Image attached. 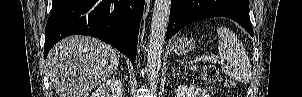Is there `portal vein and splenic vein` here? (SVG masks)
<instances>
[{"label":"portal vein and splenic vein","mask_w":302,"mask_h":97,"mask_svg":"<svg viewBox=\"0 0 302 97\" xmlns=\"http://www.w3.org/2000/svg\"><path fill=\"white\" fill-rule=\"evenodd\" d=\"M200 61H208V62H211V63H217L218 62V60H216L213 57L203 55V56L196 57L191 63H198Z\"/></svg>","instance_id":"obj_1"}]
</instances>
